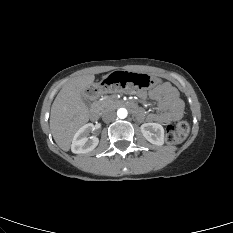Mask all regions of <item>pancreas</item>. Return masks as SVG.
Returning <instances> with one entry per match:
<instances>
[{"mask_svg": "<svg viewBox=\"0 0 233 233\" xmlns=\"http://www.w3.org/2000/svg\"><path fill=\"white\" fill-rule=\"evenodd\" d=\"M95 104L101 112H104L106 110L115 109L119 105V101L116 96L111 95L102 97Z\"/></svg>", "mask_w": 233, "mask_h": 233, "instance_id": "cf45deb5", "label": "pancreas"}]
</instances>
